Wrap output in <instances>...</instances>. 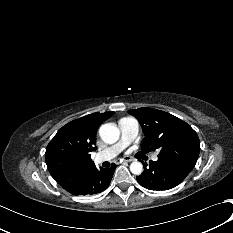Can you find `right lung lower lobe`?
Masks as SVG:
<instances>
[{
  "label": "right lung lower lobe",
  "instance_id": "1",
  "mask_svg": "<svg viewBox=\"0 0 233 233\" xmlns=\"http://www.w3.org/2000/svg\"><path fill=\"white\" fill-rule=\"evenodd\" d=\"M116 167L115 164H112L110 168L97 169L95 167L87 173L78 188L71 194L93 195L104 191L109 186Z\"/></svg>",
  "mask_w": 233,
  "mask_h": 233
}]
</instances>
